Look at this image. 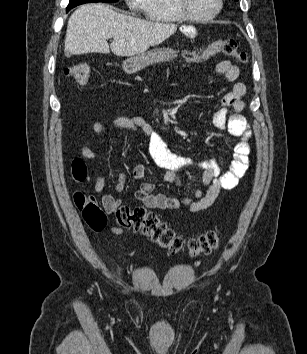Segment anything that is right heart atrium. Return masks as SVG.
Segmentation results:
<instances>
[{
    "mask_svg": "<svg viewBox=\"0 0 307 354\" xmlns=\"http://www.w3.org/2000/svg\"><path fill=\"white\" fill-rule=\"evenodd\" d=\"M146 1L147 0H126L128 6L134 10H143Z\"/></svg>",
    "mask_w": 307,
    "mask_h": 354,
    "instance_id": "1",
    "label": "right heart atrium"
}]
</instances>
